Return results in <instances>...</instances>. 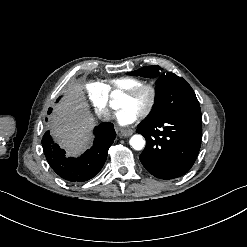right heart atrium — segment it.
<instances>
[{
    "mask_svg": "<svg viewBox=\"0 0 247 247\" xmlns=\"http://www.w3.org/2000/svg\"><path fill=\"white\" fill-rule=\"evenodd\" d=\"M88 92L92 95L93 105L99 108L101 115L104 116L106 114V103L110 99L106 87L98 82H91L88 85Z\"/></svg>",
    "mask_w": 247,
    "mask_h": 247,
    "instance_id": "d8ad5b80",
    "label": "right heart atrium"
}]
</instances>
